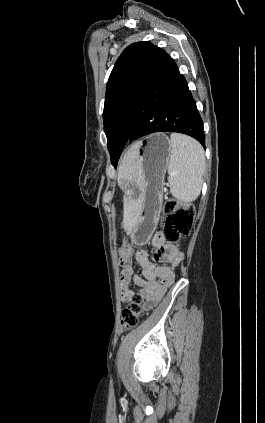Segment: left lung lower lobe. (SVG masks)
Instances as JSON below:
<instances>
[{"label":"left lung lower lobe","mask_w":265,"mask_h":423,"mask_svg":"<svg viewBox=\"0 0 265 423\" xmlns=\"http://www.w3.org/2000/svg\"><path fill=\"white\" fill-rule=\"evenodd\" d=\"M154 132H178L205 145L203 121L174 60L159 50L140 91L127 142Z\"/></svg>","instance_id":"0a47b994"}]
</instances>
